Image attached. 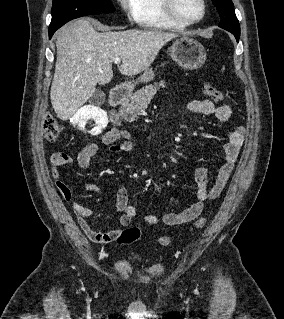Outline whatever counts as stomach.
<instances>
[{
    "label": "stomach",
    "instance_id": "0dacf381",
    "mask_svg": "<svg viewBox=\"0 0 284 319\" xmlns=\"http://www.w3.org/2000/svg\"><path fill=\"white\" fill-rule=\"evenodd\" d=\"M171 58L184 69H196L206 60V50L197 40L182 36L178 37L169 49ZM154 77L152 69L145 70L141 76L142 82H148Z\"/></svg>",
    "mask_w": 284,
    "mask_h": 319
}]
</instances>
